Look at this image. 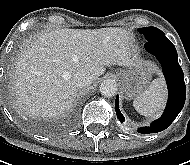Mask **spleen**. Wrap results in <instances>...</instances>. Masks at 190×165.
I'll return each mask as SVG.
<instances>
[{
    "instance_id": "3e777b00",
    "label": "spleen",
    "mask_w": 190,
    "mask_h": 165,
    "mask_svg": "<svg viewBox=\"0 0 190 165\" xmlns=\"http://www.w3.org/2000/svg\"><path fill=\"white\" fill-rule=\"evenodd\" d=\"M166 99L165 82L159 77L151 82L148 88L133 101L137 112L145 117H158Z\"/></svg>"
}]
</instances>
